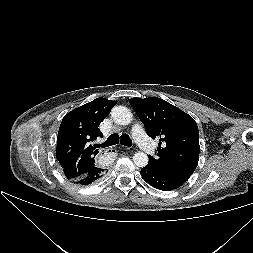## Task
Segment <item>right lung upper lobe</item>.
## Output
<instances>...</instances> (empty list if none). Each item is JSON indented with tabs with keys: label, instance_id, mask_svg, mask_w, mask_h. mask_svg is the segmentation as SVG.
<instances>
[{
	"label": "right lung upper lobe",
	"instance_id": "1",
	"mask_svg": "<svg viewBox=\"0 0 253 253\" xmlns=\"http://www.w3.org/2000/svg\"><path fill=\"white\" fill-rule=\"evenodd\" d=\"M116 104L117 101L96 98L72 110L62 119L56 157L69 180L80 179L96 167L98 150L92 142L98 136L102 137L98 127Z\"/></svg>",
	"mask_w": 253,
	"mask_h": 253
}]
</instances>
